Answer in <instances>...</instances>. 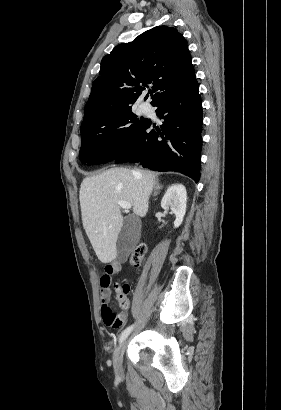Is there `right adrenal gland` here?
I'll list each match as a JSON object with an SVG mask.
<instances>
[{
	"label": "right adrenal gland",
	"instance_id": "1",
	"mask_svg": "<svg viewBox=\"0 0 281 410\" xmlns=\"http://www.w3.org/2000/svg\"><path fill=\"white\" fill-rule=\"evenodd\" d=\"M154 194L153 196H157L159 194V191L162 189V185L160 183H156L155 187H154Z\"/></svg>",
	"mask_w": 281,
	"mask_h": 410
}]
</instances>
